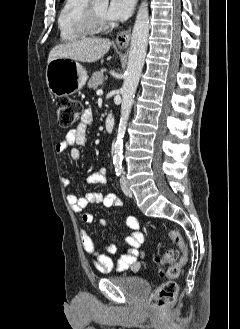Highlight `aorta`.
<instances>
[{"label":"aorta","mask_w":240,"mask_h":329,"mask_svg":"<svg viewBox=\"0 0 240 329\" xmlns=\"http://www.w3.org/2000/svg\"><path fill=\"white\" fill-rule=\"evenodd\" d=\"M96 2L107 3L108 0H95ZM149 36V11L148 4L143 1L138 9L135 24L132 31L131 46L128 58L127 69L121 90L122 104L121 117L118 127L116 142L114 145L113 163L116 166L122 164L123 159V138L127 122L131 113L134 95L138 87L144 66Z\"/></svg>","instance_id":"762f6f07"}]
</instances>
